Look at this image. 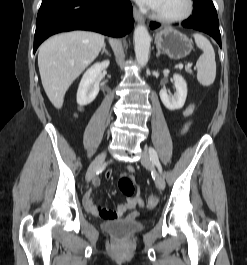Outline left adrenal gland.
I'll use <instances>...</instances> for the list:
<instances>
[{
    "label": "left adrenal gland",
    "mask_w": 247,
    "mask_h": 265,
    "mask_svg": "<svg viewBox=\"0 0 247 265\" xmlns=\"http://www.w3.org/2000/svg\"><path fill=\"white\" fill-rule=\"evenodd\" d=\"M160 54H161V51H160V49H159V48H157V54H156V57H159V56H160Z\"/></svg>",
    "instance_id": "1"
}]
</instances>
